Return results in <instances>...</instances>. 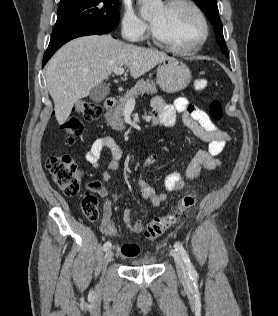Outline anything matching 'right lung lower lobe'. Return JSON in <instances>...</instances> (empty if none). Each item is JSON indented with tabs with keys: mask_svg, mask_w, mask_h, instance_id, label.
Listing matches in <instances>:
<instances>
[{
	"mask_svg": "<svg viewBox=\"0 0 278 316\" xmlns=\"http://www.w3.org/2000/svg\"><path fill=\"white\" fill-rule=\"evenodd\" d=\"M113 28L114 26H93L74 30L59 37L52 38L44 54L42 67H44L51 56L66 42L81 36L105 34L110 32Z\"/></svg>",
	"mask_w": 278,
	"mask_h": 316,
	"instance_id": "1",
	"label": "right lung lower lobe"
}]
</instances>
